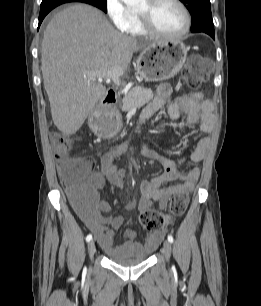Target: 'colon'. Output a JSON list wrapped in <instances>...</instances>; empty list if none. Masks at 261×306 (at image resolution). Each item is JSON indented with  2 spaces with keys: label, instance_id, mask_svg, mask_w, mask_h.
<instances>
[{
  "label": "colon",
  "instance_id": "colon-1",
  "mask_svg": "<svg viewBox=\"0 0 261 306\" xmlns=\"http://www.w3.org/2000/svg\"><path fill=\"white\" fill-rule=\"evenodd\" d=\"M212 69L211 63L200 56L190 57L184 68L185 81L189 88L198 89L206 81ZM93 123L100 127L103 134L110 136L117 130L114 116L103 112L95 117ZM57 148L63 158H68L70 141L63 139L57 142ZM60 176L69 188L70 196L77 205L85 203L93 196L88 184L89 169L82 158L68 159L59 170ZM189 198L186 193H175L170 200L168 213L156 210H145L139 216L141 226L146 230H161L170 225L175 218L182 216L188 206Z\"/></svg>",
  "mask_w": 261,
  "mask_h": 306
}]
</instances>
